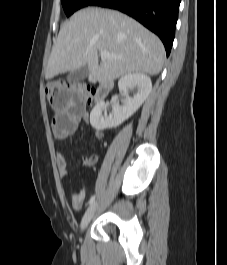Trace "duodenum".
I'll return each instance as SVG.
<instances>
[{
	"mask_svg": "<svg viewBox=\"0 0 227 265\" xmlns=\"http://www.w3.org/2000/svg\"><path fill=\"white\" fill-rule=\"evenodd\" d=\"M112 81L105 80L100 82L95 88L94 97L96 101L103 100L112 89Z\"/></svg>",
	"mask_w": 227,
	"mask_h": 265,
	"instance_id": "duodenum-1",
	"label": "duodenum"
}]
</instances>
